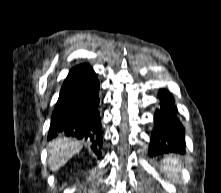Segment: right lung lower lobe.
I'll use <instances>...</instances> for the list:
<instances>
[{
	"label": "right lung lower lobe",
	"instance_id": "98d812e1",
	"mask_svg": "<svg viewBox=\"0 0 221 193\" xmlns=\"http://www.w3.org/2000/svg\"><path fill=\"white\" fill-rule=\"evenodd\" d=\"M99 81L86 64L69 73L52 114L48 139L70 136L85 141L100 156L102 128L99 115Z\"/></svg>",
	"mask_w": 221,
	"mask_h": 193
}]
</instances>
